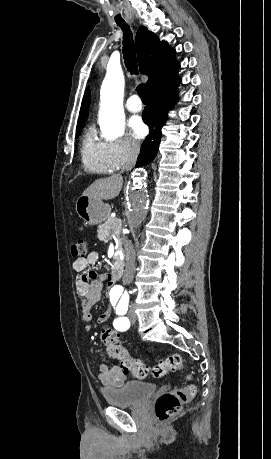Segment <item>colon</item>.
Segmentation results:
<instances>
[{
  "label": "colon",
  "instance_id": "obj_1",
  "mask_svg": "<svg viewBox=\"0 0 271 459\" xmlns=\"http://www.w3.org/2000/svg\"><path fill=\"white\" fill-rule=\"evenodd\" d=\"M73 257L86 255V243L83 239H77L70 245ZM100 339L106 348L108 355L120 362V367L138 379H144L148 375L161 378L169 372H177L183 369V359L179 354H173L161 360L153 368H149L140 359L132 358L128 350L121 344L118 333L110 327H103ZM189 378V376H187ZM193 386L173 389L163 393L155 403V413L159 421H166L174 417L181 409L182 404L188 402L194 396Z\"/></svg>",
  "mask_w": 271,
  "mask_h": 459
}]
</instances>
